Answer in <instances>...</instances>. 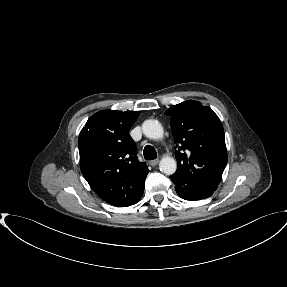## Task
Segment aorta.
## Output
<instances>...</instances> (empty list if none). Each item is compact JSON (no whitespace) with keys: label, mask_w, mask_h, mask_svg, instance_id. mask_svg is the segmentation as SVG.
<instances>
[{"label":"aorta","mask_w":287,"mask_h":287,"mask_svg":"<svg viewBox=\"0 0 287 287\" xmlns=\"http://www.w3.org/2000/svg\"><path fill=\"white\" fill-rule=\"evenodd\" d=\"M144 135L149 139H161L164 131L161 123L158 120L148 119L142 124ZM160 171L166 175H172L177 169L176 160L172 157L165 156L159 163Z\"/></svg>","instance_id":"obj_1"}]
</instances>
